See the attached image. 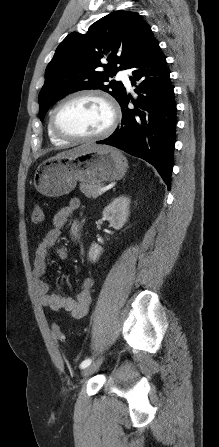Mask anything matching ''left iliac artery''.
Here are the masks:
<instances>
[{
	"label": "left iliac artery",
	"mask_w": 219,
	"mask_h": 447,
	"mask_svg": "<svg viewBox=\"0 0 219 447\" xmlns=\"http://www.w3.org/2000/svg\"><path fill=\"white\" fill-rule=\"evenodd\" d=\"M91 362H92V359H86V360H84L81 364H80V368H85V367H87L88 365H90L91 364Z\"/></svg>",
	"instance_id": "1"
}]
</instances>
